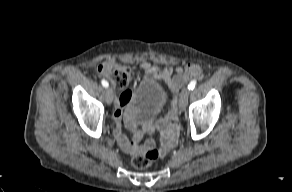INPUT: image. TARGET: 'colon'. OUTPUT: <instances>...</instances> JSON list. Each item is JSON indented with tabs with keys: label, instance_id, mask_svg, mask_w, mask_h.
Returning <instances> with one entry per match:
<instances>
[{
	"label": "colon",
	"instance_id": "obj_1",
	"mask_svg": "<svg viewBox=\"0 0 292 192\" xmlns=\"http://www.w3.org/2000/svg\"><path fill=\"white\" fill-rule=\"evenodd\" d=\"M98 71L105 75L117 89L126 88L130 82V69L126 65L114 63L104 64L98 67ZM158 156V150L150 149L145 154L134 156L132 159V165L136 169L147 168L157 159Z\"/></svg>",
	"mask_w": 292,
	"mask_h": 192
}]
</instances>
